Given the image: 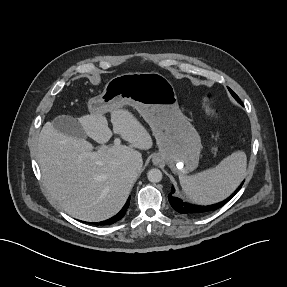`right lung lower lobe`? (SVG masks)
Returning <instances> with one entry per match:
<instances>
[{
    "label": "right lung lower lobe",
    "instance_id": "98d812e1",
    "mask_svg": "<svg viewBox=\"0 0 287 287\" xmlns=\"http://www.w3.org/2000/svg\"><path fill=\"white\" fill-rule=\"evenodd\" d=\"M129 200H130V198L127 200V202H126L125 206L122 208V210L118 214H116L114 217H112L106 221H102L100 223H94V224L95 225H110V224H113V223L119 221L125 215L128 207H129Z\"/></svg>",
    "mask_w": 287,
    "mask_h": 287
}]
</instances>
